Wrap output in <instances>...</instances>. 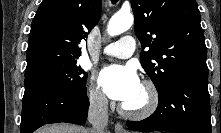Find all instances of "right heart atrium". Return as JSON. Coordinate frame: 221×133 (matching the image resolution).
<instances>
[{
  "label": "right heart atrium",
  "instance_id": "obj_1",
  "mask_svg": "<svg viewBox=\"0 0 221 133\" xmlns=\"http://www.w3.org/2000/svg\"><path fill=\"white\" fill-rule=\"evenodd\" d=\"M88 102L92 109L104 112L108 107L105 94L95 85L93 78L90 79L87 90Z\"/></svg>",
  "mask_w": 221,
  "mask_h": 133
}]
</instances>
